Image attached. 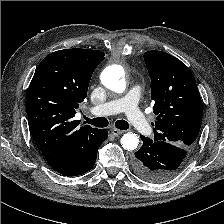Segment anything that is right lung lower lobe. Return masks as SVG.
I'll return each mask as SVG.
<instances>
[{
  "mask_svg": "<svg viewBox=\"0 0 224 224\" xmlns=\"http://www.w3.org/2000/svg\"><path fill=\"white\" fill-rule=\"evenodd\" d=\"M107 137L108 132L105 129H100L95 140L83 150L77 160L65 169L57 172L67 176H77L88 172L95 164L99 146Z\"/></svg>",
  "mask_w": 224,
  "mask_h": 224,
  "instance_id": "obj_1",
  "label": "right lung lower lobe"
}]
</instances>
